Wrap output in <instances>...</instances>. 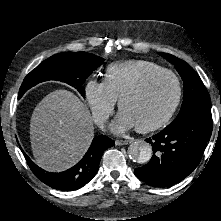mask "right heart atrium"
<instances>
[{
  "label": "right heart atrium",
  "instance_id": "right-heart-atrium-1",
  "mask_svg": "<svg viewBox=\"0 0 221 221\" xmlns=\"http://www.w3.org/2000/svg\"><path fill=\"white\" fill-rule=\"evenodd\" d=\"M83 93L94 120L98 125H103L113 113L117 99L104 81L92 78L85 82Z\"/></svg>",
  "mask_w": 221,
  "mask_h": 221
}]
</instances>
